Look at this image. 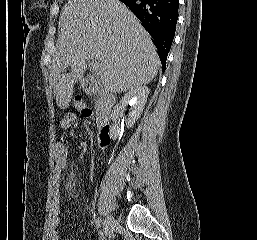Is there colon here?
Masks as SVG:
<instances>
[{
	"mask_svg": "<svg viewBox=\"0 0 257 240\" xmlns=\"http://www.w3.org/2000/svg\"><path fill=\"white\" fill-rule=\"evenodd\" d=\"M73 107L76 111L80 112L83 116L88 117L91 115V110L83 103V101L80 98H76ZM73 119V115L69 114L66 117L65 123H68Z\"/></svg>",
	"mask_w": 257,
	"mask_h": 240,
	"instance_id": "colon-1",
	"label": "colon"
}]
</instances>
